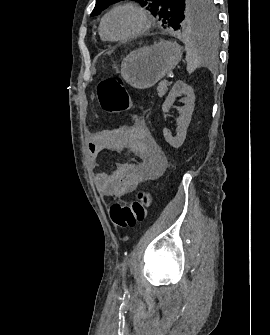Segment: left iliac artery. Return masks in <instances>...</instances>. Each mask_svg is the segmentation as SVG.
Returning <instances> with one entry per match:
<instances>
[{"label":"left iliac artery","instance_id":"1","mask_svg":"<svg viewBox=\"0 0 270 335\" xmlns=\"http://www.w3.org/2000/svg\"><path fill=\"white\" fill-rule=\"evenodd\" d=\"M127 264H128V261L126 260L124 262L123 268H122V277H123V284H124V286H125V276H126Z\"/></svg>","mask_w":270,"mask_h":335}]
</instances>
